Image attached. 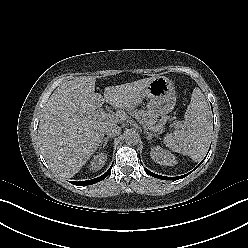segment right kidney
Wrapping results in <instances>:
<instances>
[{"label": "right kidney", "instance_id": "ca27d5eb", "mask_svg": "<svg viewBox=\"0 0 248 248\" xmlns=\"http://www.w3.org/2000/svg\"><path fill=\"white\" fill-rule=\"evenodd\" d=\"M107 160V154L106 153H99L97 155H94L93 159L90 161V170L97 171L100 170L105 162Z\"/></svg>", "mask_w": 248, "mask_h": 248}]
</instances>
